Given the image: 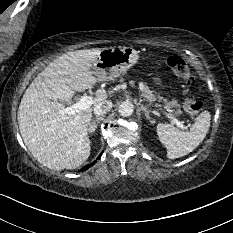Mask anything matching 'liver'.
<instances>
[{"mask_svg":"<svg viewBox=\"0 0 233 233\" xmlns=\"http://www.w3.org/2000/svg\"><path fill=\"white\" fill-rule=\"evenodd\" d=\"M100 51L95 48L61 55L37 75L21 99V136L34 158L49 169H76L90 155L91 106L75 114L63 110L74 91H85L100 81L92 70ZM107 97L106 90H97L93 105Z\"/></svg>","mask_w":233,"mask_h":233,"instance_id":"6515ba94","label":"liver"}]
</instances>
